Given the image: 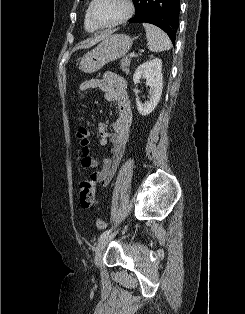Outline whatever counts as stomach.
I'll return each mask as SVG.
<instances>
[{
    "instance_id": "0dacf381",
    "label": "stomach",
    "mask_w": 245,
    "mask_h": 314,
    "mask_svg": "<svg viewBox=\"0 0 245 314\" xmlns=\"http://www.w3.org/2000/svg\"><path fill=\"white\" fill-rule=\"evenodd\" d=\"M132 43L133 39L126 34L109 35L81 58L80 69L85 73L97 72L107 63L125 56Z\"/></svg>"
}]
</instances>
